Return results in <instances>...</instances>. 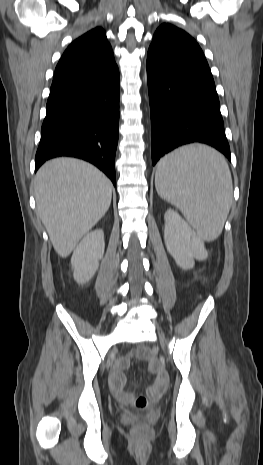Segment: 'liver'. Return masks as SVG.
<instances>
[{
  "instance_id": "6515ba94",
  "label": "liver",
  "mask_w": 263,
  "mask_h": 465,
  "mask_svg": "<svg viewBox=\"0 0 263 465\" xmlns=\"http://www.w3.org/2000/svg\"><path fill=\"white\" fill-rule=\"evenodd\" d=\"M34 194L53 247L66 258L108 211L112 183L93 165L62 157L38 170Z\"/></svg>"
}]
</instances>
